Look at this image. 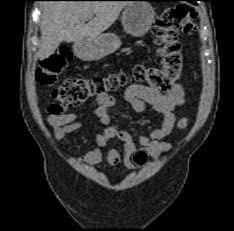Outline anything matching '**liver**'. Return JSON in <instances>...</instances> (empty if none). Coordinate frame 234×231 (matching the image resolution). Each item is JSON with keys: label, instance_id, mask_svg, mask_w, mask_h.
<instances>
[{"label": "liver", "instance_id": "1", "mask_svg": "<svg viewBox=\"0 0 234 231\" xmlns=\"http://www.w3.org/2000/svg\"><path fill=\"white\" fill-rule=\"evenodd\" d=\"M127 1H47L40 23V60L51 56L61 42H77L107 30ZM95 15L93 19H91ZM91 19L87 24L85 21Z\"/></svg>", "mask_w": 234, "mask_h": 231}]
</instances>
